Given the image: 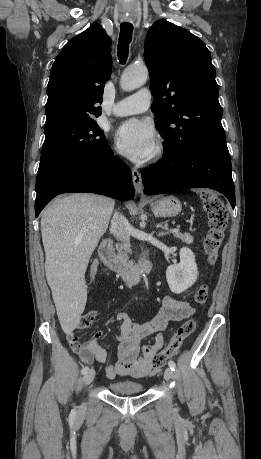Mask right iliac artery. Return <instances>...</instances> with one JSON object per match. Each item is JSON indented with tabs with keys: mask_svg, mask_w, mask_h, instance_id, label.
Wrapping results in <instances>:
<instances>
[{
	"mask_svg": "<svg viewBox=\"0 0 261 459\" xmlns=\"http://www.w3.org/2000/svg\"><path fill=\"white\" fill-rule=\"evenodd\" d=\"M88 370H89V367L85 366V367L82 368L81 373L85 374Z\"/></svg>",
	"mask_w": 261,
	"mask_h": 459,
	"instance_id": "1",
	"label": "right iliac artery"
}]
</instances>
